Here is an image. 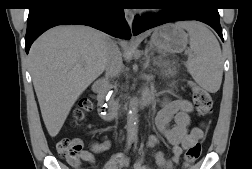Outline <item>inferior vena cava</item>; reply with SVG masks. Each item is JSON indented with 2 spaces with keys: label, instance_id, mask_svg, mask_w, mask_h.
Masks as SVG:
<instances>
[{
  "label": "inferior vena cava",
  "instance_id": "obj_1",
  "mask_svg": "<svg viewBox=\"0 0 252 169\" xmlns=\"http://www.w3.org/2000/svg\"><path fill=\"white\" fill-rule=\"evenodd\" d=\"M123 62L120 49L114 41H111L106 49L105 74L107 79H112L120 75Z\"/></svg>",
  "mask_w": 252,
  "mask_h": 169
}]
</instances>
